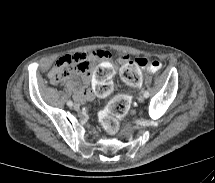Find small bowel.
Masks as SVG:
<instances>
[{"instance_id": "1", "label": "small bowel", "mask_w": 215, "mask_h": 183, "mask_svg": "<svg viewBox=\"0 0 215 183\" xmlns=\"http://www.w3.org/2000/svg\"><path fill=\"white\" fill-rule=\"evenodd\" d=\"M96 60H103L92 72V64ZM111 54L104 49H95L90 53H74L61 57L57 62L67 64L71 67V72L65 78L54 80L52 71L49 74L52 83L56 84L60 80H67L76 87L75 99L79 102L91 99L92 97L105 100L111 96L114 90V76L116 67L110 62ZM119 64H125L129 61L127 54L118 56ZM77 78H80L78 80ZM90 83V91L87 85Z\"/></svg>"}]
</instances>
